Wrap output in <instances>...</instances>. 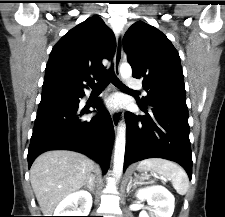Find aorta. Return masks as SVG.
<instances>
[{"instance_id":"obj_1","label":"aorta","mask_w":225,"mask_h":217,"mask_svg":"<svg viewBox=\"0 0 225 217\" xmlns=\"http://www.w3.org/2000/svg\"><path fill=\"white\" fill-rule=\"evenodd\" d=\"M120 75L123 80H127L132 75L131 66L128 63H122L120 66ZM126 145V125L120 123L117 129L114 151V167L113 172L116 178H120L123 172V163Z\"/></svg>"}]
</instances>
